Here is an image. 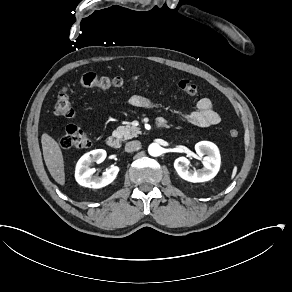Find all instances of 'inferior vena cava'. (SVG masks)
I'll use <instances>...</instances> for the list:
<instances>
[{
    "instance_id": "inferior-vena-cava-1",
    "label": "inferior vena cava",
    "mask_w": 292,
    "mask_h": 292,
    "mask_svg": "<svg viewBox=\"0 0 292 292\" xmlns=\"http://www.w3.org/2000/svg\"><path fill=\"white\" fill-rule=\"evenodd\" d=\"M141 145L140 141H130L128 143H126L125 145V151L126 152H132L133 150H135L137 147H139Z\"/></svg>"
}]
</instances>
